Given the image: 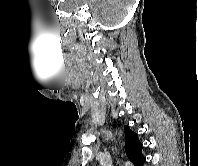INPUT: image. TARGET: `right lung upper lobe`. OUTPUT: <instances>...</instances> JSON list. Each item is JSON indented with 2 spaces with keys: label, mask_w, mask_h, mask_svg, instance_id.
Returning a JSON list of instances; mask_svg holds the SVG:
<instances>
[{
  "label": "right lung upper lobe",
  "mask_w": 198,
  "mask_h": 166,
  "mask_svg": "<svg viewBox=\"0 0 198 166\" xmlns=\"http://www.w3.org/2000/svg\"><path fill=\"white\" fill-rule=\"evenodd\" d=\"M125 130V149L126 154L134 166H141L145 157L142 154L143 145L138 138V134L134 133L128 126H124Z\"/></svg>",
  "instance_id": "obj_1"
}]
</instances>
